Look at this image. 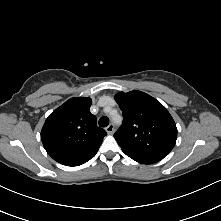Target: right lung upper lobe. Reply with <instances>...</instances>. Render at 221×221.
Listing matches in <instances>:
<instances>
[{
  "mask_svg": "<svg viewBox=\"0 0 221 221\" xmlns=\"http://www.w3.org/2000/svg\"><path fill=\"white\" fill-rule=\"evenodd\" d=\"M90 98H71L54 110L41 130L47 153L66 166H79L93 158L107 134L96 126Z\"/></svg>",
  "mask_w": 221,
  "mask_h": 221,
  "instance_id": "cb5924a9",
  "label": "right lung upper lobe"
}]
</instances>
